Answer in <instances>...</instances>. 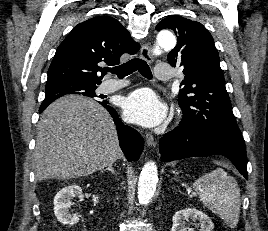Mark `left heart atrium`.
<instances>
[{"label":"left heart atrium","instance_id":"left-heart-atrium-1","mask_svg":"<svg viewBox=\"0 0 268 231\" xmlns=\"http://www.w3.org/2000/svg\"><path fill=\"white\" fill-rule=\"evenodd\" d=\"M123 108L127 121L144 127H154L160 124L166 115L164 104L148 88L132 92L125 99Z\"/></svg>","mask_w":268,"mask_h":231}]
</instances>
